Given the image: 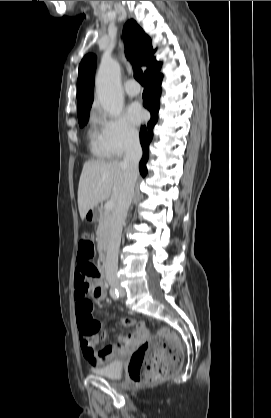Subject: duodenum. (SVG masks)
I'll use <instances>...</instances> for the list:
<instances>
[{"mask_svg":"<svg viewBox=\"0 0 271 418\" xmlns=\"http://www.w3.org/2000/svg\"><path fill=\"white\" fill-rule=\"evenodd\" d=\"M107 266V257L105 251H102L99 258V267L102 269V272H105Z\"/></svg>","mask_w":271,"mask_h":418,"instance_id":"duodenum-1","label":"duodenum"}]
</instances>
